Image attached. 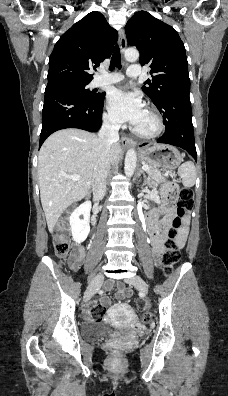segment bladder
Segmentation results:
<instances>
[{
    "mask_svg": "<svg viewBox=\"0 0 228 396\" xmlns=\"http://www.w3.org/2000/svg\"><path fill=\"white\" fill-rule=\"evenodd\" d=\"M114 332L116 329L113 326L98 322H89L82 327V335L86 340L105 339Z\"/></svg>",
    "mask_w": 228,
    "mask_h": 396,
    "instance_id": "obj_1",
    "label": "bladder"
}]
</instances>
